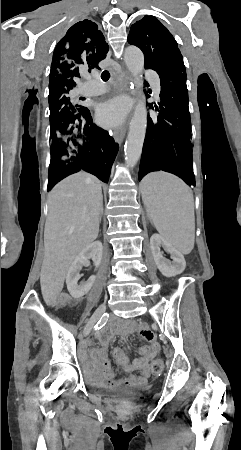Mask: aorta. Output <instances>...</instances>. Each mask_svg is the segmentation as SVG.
<instances>
[{
    "instance_id": "obj_1",
    "label": "aorta",
    "mask_w": 241,
    "mask_h": 450,
    "mask_svg": "<svg viewBox=\"0 0 241 450\" xmlns=\"http://www.w3.org/2000/svg\"><path fill=\"white\" fill-rule=\"evenodd\" d=\"M124 60L127 68L134 77L137 88L140 89V96L143 97L141 91V88H143V81L141 80V77L144 69V55L142 51L135 46H129L125 49ZM146 128L147 109L144 100H139L135 106L134 114L130 122L129 133L124 149L125 162L128 167L135 166L141 157Z\"/></svg>"
}]
</instances>
